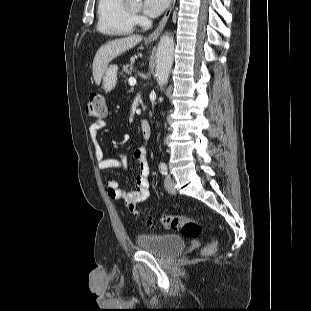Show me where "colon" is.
I'll use <instances>...</instances> for the list:
<instances>
[{
	"instance_id": "5ec220e1",
	"label": "colon",
	"mask_w": 311,
	"mask_h": 311,
	"mask_svg": "<svg viewBox=\"0 0 311 311\" xmlns=\"http://www.w3.org/2000/svg\"><path fill=\"white\" fill-rule=\"evenodd\" d=\"M86 116L94 119L101 120L106 116V104L102 94L94 92L91 93L88 102L85 106ZM145 224L152 228L154 227V221L152 218H143ZM162 225L167 230L179 231L184 237L195 239L202 233L201 225L194 219L185 216H166L162 219ZM216 247L215 242H211L203 248L202 254H211Z\"/></svg>"
}]
</instances>
